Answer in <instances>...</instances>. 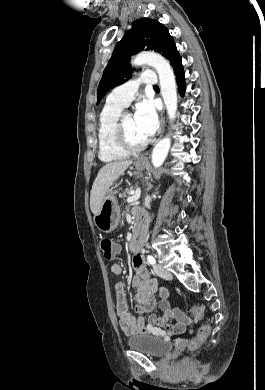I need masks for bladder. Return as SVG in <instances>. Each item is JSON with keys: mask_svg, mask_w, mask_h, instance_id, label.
Masks as SVG:
<instances>
[{"mask_svg": "<svg viewBox=\"0 0 265 390\" xmlns=\"http://www.w3.org/2000/svg\"><path fill=\"white\" fill-rule=\"evenodd\" d=\"M127 345L133 350L155 357L163 356L172 348V345L163 338L148 334L130 337Z\"/></svg>", "mask_w": 265, "mask_h": 390, "instance_id": "1", "label": "bladder"}]
</instances>
